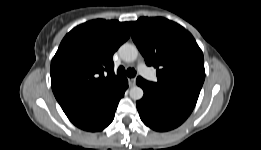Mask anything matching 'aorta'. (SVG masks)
<instances>
[{
  "label": "aorta",
  "instance_id": "762f6f07",
  "mask_svg": "<svg viewBox=\"0 0 261 150\" xmlns=\"http://www.w3.org/2000/svg\"><path fill=\"white\" fill-rule=\"evenodd\" d=\"M119 55L125 62H133L138 57V50L135 45L125 43L119 48ZM143 94V89L139 86H133L129 91V95L133 100H140Z\"/></svg>",
  "mask_w": 261,
  "mask_h": 150
}]
</instances>
